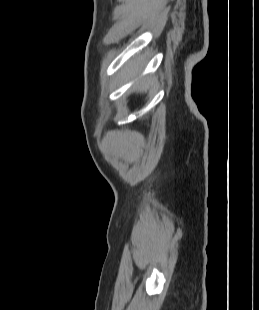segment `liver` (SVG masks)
I'll use <instances>...</instances> for the list:
<instances>
[{"label": "liver", "instance_id": "obj_1", "mask_svg": "<svg viewBox=\"0 0 259 310\" xmlns=\"http://www.w3.org/2000/svg\"><path fill=\"white\" fill-rule=\"evenodd\" d=\"M138 70H139L138 66L135 65V63H131L130 67H129V70H128L129 77H132L135 73L138 72ZM145 88H146V85H145ZM137 89L143 90L144 89V85L143 84H141L140 86L138 85Z\"/></svg>", "mask_w": 259, "mask_h": 310}]
</instances>
